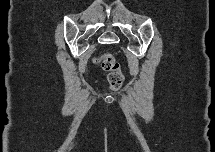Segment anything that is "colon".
<instances>
[{
  "label": "colon",
  "mask_w": 215,
  "mask_h": 152,
  "mask_svg": "<svg viewBox=\"0 0 215 152\" xmlns=\"http://www.w3.org/2000/svg\"><path fill=\"white\" fill-rule=\"evenodd\" d=\"M97 64L108 72L107 80L109 89L119 90L124 82V75L117 61L110 53H103L96 59Z\"/></svg>",
  "instance_id": "obj_1"
}]
</instances>
